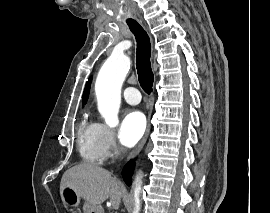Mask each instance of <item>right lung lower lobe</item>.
Returning a JSON list of instances; mask_svg holds the SVG:
<instances>
[{
    "instance_id": "obj_1",
    "label": "right lung lower lobe",
    "mask_w": 270,
    "mask_h": 213,
    "mask_svg": "<svg viewBox=\"0 0 270 213\" xmlns=\"http://www.w3.org/2000/svg\"><path fill=\"white\" fill-rule=\"evenodd\" d=\"M133 168H134V162L130 161L129 163H127V165L125 166L123 170V178L128 185H130L131 183V175L133 172Z\"/></svg>"
}]
</instances>
